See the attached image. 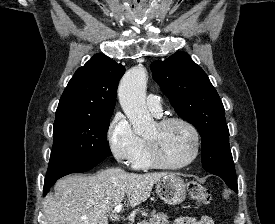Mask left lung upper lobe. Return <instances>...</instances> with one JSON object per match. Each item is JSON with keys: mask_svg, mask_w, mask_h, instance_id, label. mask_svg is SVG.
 I'll return each mask as SVG.
<instances>
[{"mask_svg": "<svg viewBox=\"0 0 275 224\" xmlns=\"http://www.w3.org/2000/svg\"><path fill=\"white\" fill-rule=\"evenodd\" d=\"M151 70L176 113L199 131L203 168L225 182L236 180L225 110L206 73L182 51L154 61Z\"/></svg>", "mask_w": 275, "mask_h": 224, "instance_id": "1", "label": "left lung upper lobe"}]
</instances>
